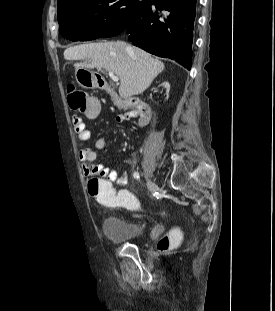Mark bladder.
Instances as JSON below:
<instances>
[{
    "mask_svg": "<svg viewBox=\"0 0 275 311\" xmlns=\"http://www.w3.org/2000/svg\"><path fill=\"white\" fill-rule=\"evenodd\" d=\"M117 197V194H116ZM105 235L114 242H125L137 239L141 235V226L119 216L108 215L103 221Z\"/></svg>",
    "mask_w": 275,
    "mask_h": 311,
    "instance_id": "1",
    "label": "bladder"
}]
</instances>
